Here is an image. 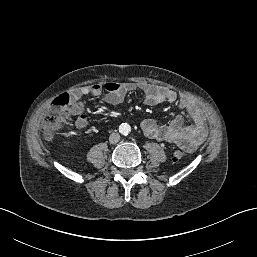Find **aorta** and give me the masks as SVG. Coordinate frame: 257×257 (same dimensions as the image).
<instances>
[{
  "instance_id": "762f6f07",
  "label": "aorta",
  "mask_w": 257,
  "mask_h": 257,
  "mask_svg": "<svg viewBox=\"0 0 257 257\" xmlns=\"http://www.w3.org/2000/svg\"><path fill=\"white\" fill-rule=\"evenodd\" d=\"M119 131L123 134V135H127L130 131H131V127L129 124L127 123H123L120 125Z\"/></svg>"
}]
</instances>
